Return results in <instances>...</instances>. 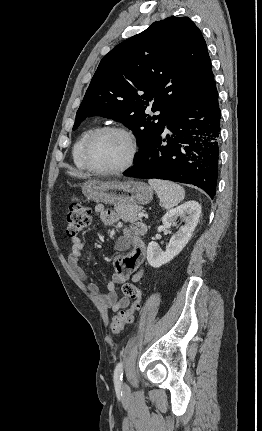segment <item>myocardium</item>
Returning <instances> with one entry per match:
<instances>
[{
	"mask_svg": "<svg viewBox=\"0 0 262 431\" xmlns=\"http://www.w3.org/2000/svg\"><path fill=\"white\" fill-rule=\"evenodd\" d=\"M110 132L120 133L128 139L130 143V153L125 163L122 164L121 166L116 168H102L95 165L92 162L91 148L98 137H100L105 133H110ZM138 153H139V143L135 134L125 126L110 125V126H104L97 129L89 136V138L87 139L84 145L82 157L85 165L90 171L101 175H115V174H120L126 171L127 169H129L135 163Z\"/></svg>",
	"mask_w": 262,
	"mask_h": 431,
	"instance_id": "1",
	"label": "myocardium"
}]
</instances>
